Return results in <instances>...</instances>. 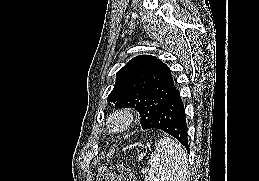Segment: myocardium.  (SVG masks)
Here are the masks:
<instances>
[{"label": "myocardium", "instance_id": "f54148a6", "mask_svg": "<svg viewBox=\"0 0 259 181\" xmlns=\"http://www.w3.org/2000/svg\"><path fill=\"white\" fill-rule=\"evenodd\" d=\"M135 115L131 108L120 107L114 110L107 119L109 132L120 134L125 132L134 122Z\"/></svg>", "mask_w": 259, "mask_h": 181}]
</instances>
